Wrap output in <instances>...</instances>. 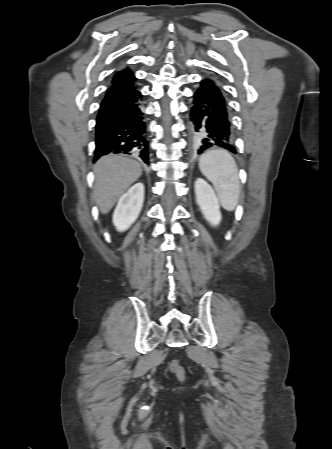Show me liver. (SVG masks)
Here are the masks:
<instances>
[{
  "label": "liver",
  "instance_id": "liver-1",
  "mask_svg": "<svg viewBox=\"0 0 332 449\" xmlns=\"http://www.w3.org/2000/svg\"><path fill=\"white\" fill-rule=\"evenodd\" d=\"M94 200L107 214L119 197L141 176L140 164L121 155L101 157L94 166Z\"/></svg>",
  "mask_w": 332,
  "mask_h": 449
}]
</instances>
